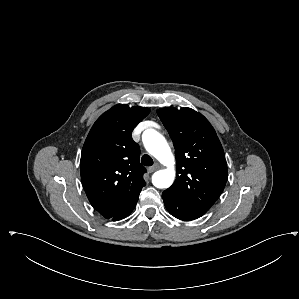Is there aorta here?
<instances>
[{
    "label": "aorta",
    "instance_id": "762f6f07",
    "mask_svg": "<svg viewBox=\"0 0 299 299\" xmlns=\"http://www.w3.org/2000/svg\"><path fill=\"white\" fill-rule=\"evenodd\" d=\"M142 139L146 150L161 164L167 167L153 174V185L160 189L169 188L175 179V158L167 141L154 129L144 131Z\"/></svg>",
    "mask_w": 299,
    "mask_h": 299
}]
</instances>
